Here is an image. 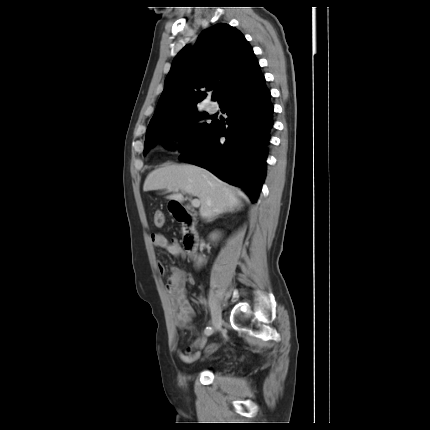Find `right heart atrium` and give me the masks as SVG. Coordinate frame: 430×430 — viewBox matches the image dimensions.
<instances>
[{
  "mask_svg": "<svg viewBox=\"0 0 430 430\" xmlns=\"http://www.w3.org/2000/svg\"><path fill=\"white\" fill-rule=\"evenodd\" d=\"M185 139V132L182 130L176 131L170 139V145L173 148H179Z\"/></svg>",
  "mask_w": 430,
  "mask_h": 430,
  "instance_id": "right-heart-atrium-1",
  "label": "right heart atrium"
}]
</instances>
